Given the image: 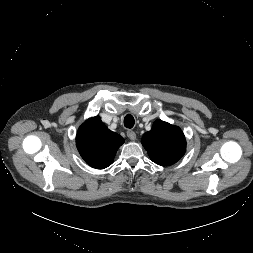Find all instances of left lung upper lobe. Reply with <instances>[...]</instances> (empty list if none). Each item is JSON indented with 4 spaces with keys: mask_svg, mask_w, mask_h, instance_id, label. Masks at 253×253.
<instances>
[{
    "mask_svg": "<svg viewBox=\"0 0 253 253\" xmlns=\"http://www.w3.org/2000/svg\"><path fill=\"white\" fill-rule=\"evenodd\" d=\"M150 159L158 165L169 166L176 163L186 151L183 132L162 120H156L152 129L141 140Z\"/></svg>",
    "mask_w": 253,
    "mask_h": 253,
    "instance_id": "obj_1",
    "label": "left lung upper lobe"
}]
</instances>
